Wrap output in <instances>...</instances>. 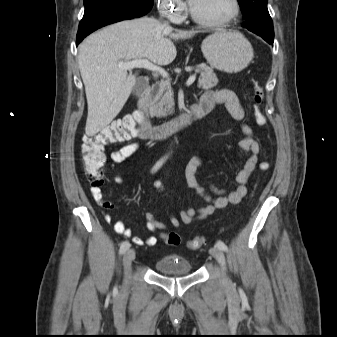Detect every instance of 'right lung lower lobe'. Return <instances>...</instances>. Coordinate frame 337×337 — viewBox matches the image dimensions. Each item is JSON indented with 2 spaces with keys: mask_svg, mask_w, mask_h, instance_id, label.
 Listing matches in <instances>:
<instances>
[{
  "mask_svg": "<svg viewBox=\"0 0 337 337\" xmlns=\"http://www.w3.org/2000/svg\"><path fill=\"white\" fill-rule=\"evenodd\" d=\"M84 5L85 12L79 24L76 46L87 35L103 26L147 14L153 1L142 3L133 0H90Z\"/></svg>",
  "mask_w": 337,
  "mask_h": 337,
  "instance_id": "obj_1",
  "label": "right lung lower lobe"
}]
</instances>
